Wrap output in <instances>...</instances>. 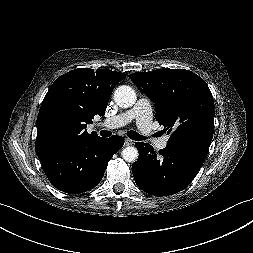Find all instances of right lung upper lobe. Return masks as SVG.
<instances>
[{
    "label": "right lung upper lobe",
    "instance_id": "cb5924a9",
    "mask_svg": "<svg viewBox=\"0 0 253 253\" xmlns=\"http://www.w3.org/2000/svg\"><path fill=\"white\" fill-rule=\"evenodd\" d=\"M125 76L108 69L78 68L57 78L45 95L37 118L38 157L58 147L100 138L85 128L95 115L105 114L115 85Z\"/></svg>",
    "mask_w": 253,
    "mask_h": 253
}]
</instances>
